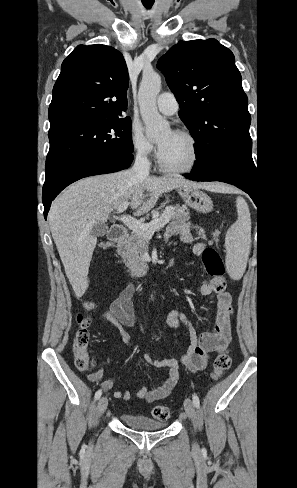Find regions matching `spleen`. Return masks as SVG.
Segmentation results:
<instances>
[{
	"label": "spleen",
	"instance_id": "obj_1",
	"mask_svg": "<svg viewBox=\"0 0 297 488\" xmlns=\"http://www.w3.org/2000/svg\"><path fill=\"white\" fill-rule=\"evenodd\" d=\"M238 218L225 237L226 267L233 280H239L245 272L251 249L250 212L244 198L237 197Z\"/></svg>",
	"mask_w": 297,
	"mask_h": 488
}]
</instances>
